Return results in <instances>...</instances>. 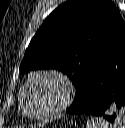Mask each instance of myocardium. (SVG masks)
Segmentation results:
<instances>
[{"instance_id":"myocardium-1","label":"myocardium","mask_w":125,"mask_h":128,"mask_svg":"<svg viewBox=\"0 0 125 128\" xmlns=\"http://www.w3.org/2000/svg\"><path fill=\"white\" fill-rule=\"evenodd\" d=\"M40 77H48L56 80L59 82L63 89V95L60 100V102L57 104L56 107L53 109L38 113V114H32L26 111L24 106V97L25 93L32 84V82ZM74 97V87L71 82V80L62 72L51 70V69H42L32 72L28 78L26 79L24 85L21 88L20 94H19V108L21 113L31 120H48L57 117L60 115L63 111H65L69 105L71 104Z\"/></svg>"}]
</instances>
